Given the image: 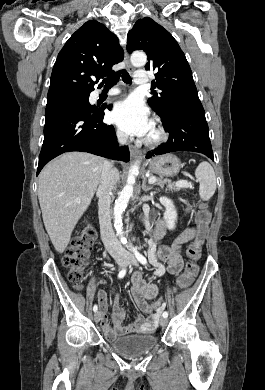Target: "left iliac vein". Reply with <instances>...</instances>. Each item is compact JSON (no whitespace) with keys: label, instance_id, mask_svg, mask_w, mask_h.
Wrapping results in <instances>:
<instances>
[{"label":"left iliac vein","instance_id":"4c4485c4","mask_svg":"<svg viewBox=\"0 0 265 390\" xmlns=\"http://www.w3.org/2000/svg\"><path fill=\"white\" fill-rule=\"evenodd\" d=\"M125 259H126L127 265H129V266H132V265L136 266L137 265V260L132 253H129V252L125 253ZM167 323H168L167 318H165V317L160 318V325L162 327H165L167 325Z\"/></svg>","mask_w":265,"mask_h":390}]
</instances>
